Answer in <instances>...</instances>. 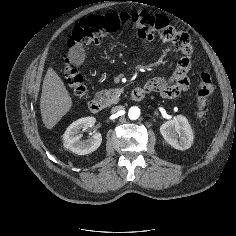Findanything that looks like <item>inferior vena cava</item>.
Wrapping results in <instances>:
<instances>
[{"label": "inferior vena cava", "mask_w": 236, "mask_h": 236, "mask_svg": "<svg viewBox=\"0 0 236 236\" xmlns=\"http://www.w3.org/2000/svg\"><path fill=\"white\" fill-rule=\"evenodd\" d=\"M122 109H124V106H122V105L115 106V107L112 108L111 112L115 113V112H118V111H120Z\"/></svg>", "instance_id": "obj_1"}]
</instances>
